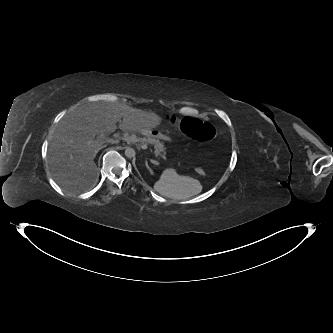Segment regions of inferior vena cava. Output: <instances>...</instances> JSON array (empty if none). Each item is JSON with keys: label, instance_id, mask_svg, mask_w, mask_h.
Masks as SVG:
<instances>
[{"label": "inferior vena cava", "instance_id": "1", "mask_svg": "<svg viewBox=\"0 0 333 333\" xmlns=\"http://www.w3.org/2000/svg\"><path fill=\"white\" fill-rule=\"evenodd\" d=\"M113 143H117L118 141H116V140H114V141H112Z\"/></svg>", "mask_w": 333, "mask_h": 333}]
</instances>
